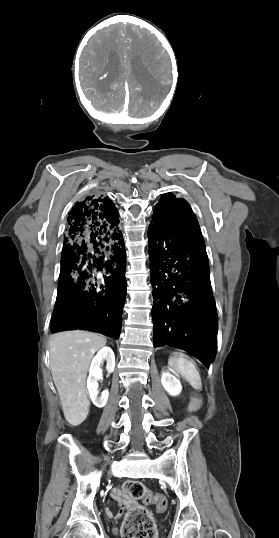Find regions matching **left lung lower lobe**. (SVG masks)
<instances>
[{"label":"left lung lower lobe","mask_w":279,"mask_h":538,"mask_svg":"<svg viewBox=\"0 0 279 538\" xmlns=\"http://www.w3.org/2000/svg\"><path fill=\"white\" fill-rule=\"evenodd\" d=\"M148 246L154 347L183 349L209 368L218 317L202 234L149 225Z\"/></svg>","instance_id":"1"}]
</instances>
